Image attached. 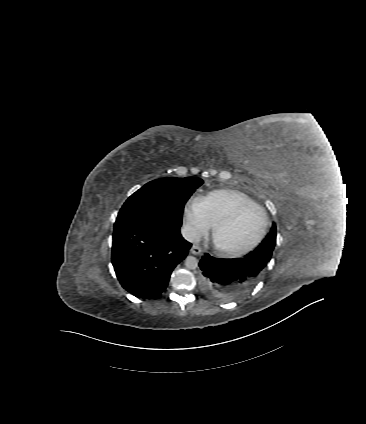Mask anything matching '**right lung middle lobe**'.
<instances>
[{"label": "right lung middle lobe", "instance_id": "1", "mask_svg": "<svg viewBox=\"0 0 366 424\" xmlns=\"http://www.w3.org/2000/svg\"><path fill=\"white\" fill-rule=\"evenodd\" d=\"M202 183L195 177L153 180L127 199L116 223L156 220L168 229L179 230L184 205Z\"/></svg>", "mask_w": 366, "mask_h": 424}]
</instances>
